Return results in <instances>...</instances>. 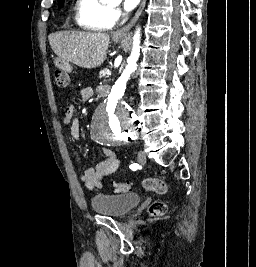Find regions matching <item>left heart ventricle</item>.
<instances>
[{
  "instance_id": "left-heart-ventricle-1",
  "label": "left heart ventricle",
  "mask_w": 256,
  "mask_h": 267,
  "mask_svg": "<svg viewBox=\"0 0 256 267\" xmlns=\"http://www.w3.org/2000/svg\"><path fill=\"white\" fill-rule=\"evenodd\" d=\"M104 25H111V22H107V23H105ZM100 30H103V31H109V29H103V28H101Z\"/></svg>"
}]
</instances>
